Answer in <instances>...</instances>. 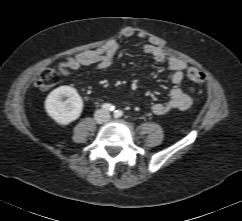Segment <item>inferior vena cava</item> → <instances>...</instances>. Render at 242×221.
<instances>
[{"label":"inferior vena cava","mask_w":242,"mask_h":221,"mask_svg":"<svg viewBox=\"0 0 242 221\" xmlns=\"http://www.w3.org/2000/svg\"><path fill=\"white\" fill-rule=\"evenodd\" d=\"M95 119L100 122V123H103V122H108L109 119H110V115H109V112L106 111V110H97L95 112Z\"/></svg>","instance_id":"obj_1"}]
</instances>
